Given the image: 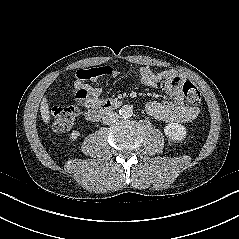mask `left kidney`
<instances>
[{
	"instance_id": "5707ae66",
	"label": "left kidney",
	"mask_w": 239,
	"mask_h": 239,
	"mask_svg": "<svg viewBox=\"0 0 239 239\" xmlns=\"http://www.w3.org/2000/svg\"><path fill=\"white\" fill-rule=\"evenodd\" d=\"M164 132L167 137L175 141H181L187 135L186 127L177 123L167 124L164 128Z\"/></svg>"
}]
</instances>
